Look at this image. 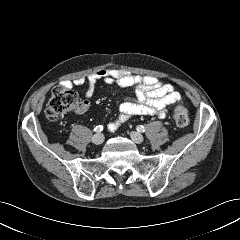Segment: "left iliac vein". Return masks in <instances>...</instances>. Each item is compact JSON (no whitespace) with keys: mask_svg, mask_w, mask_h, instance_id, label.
I'll return each mask as SVG.
<instances>
[{"mask_svg":"<svg viewBox=\"0 0 240 240\" xmlns=\"http://www.w3.org/2000/svg\"><path fill=\"white\" fill-rule=\"evenodd\" d=\"M130 137L137 144H141L144 141L143 136L140 133L135 132V131H132L130 133Z\"/></svg>","mask_w":240,"mask_h":240,"instance_id":"4c4485c4","label":"left iliac vein"}]
</instances>
